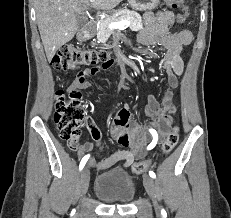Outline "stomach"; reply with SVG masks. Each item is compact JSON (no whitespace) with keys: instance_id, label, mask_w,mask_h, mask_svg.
Instances as JSON below:
<instances>
[{"instance_id":"stomach-1","label":"stomach","mask_w":231,"mask_h":218,"mask_svg":"<svg viewBox=\"0 0 231 218\" xmlns=\"http://www.w3.org/2000/svg\"><path fill=\"white\" fill-rule=\"evenodd\" d=\"M129 3L135 10L146 11L156 8L159 0H129Z\"/></svg>"}]
</instances>
